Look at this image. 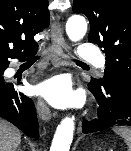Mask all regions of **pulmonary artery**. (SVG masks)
<instances>
[{
  "instance_id": "1",
  "label": "pulmonary artery",
  "mask_w": 131,
  "mask_h": 151,
  "mask_svg": "<svg viewBox=\"0 0 131 151\" xmlns=\"http://www.w3.org/2000/svg\"><path fill=\"white\" fill-rule=\"evenodd\" d=\"M78 55L80 59L92 63L98 69H104L105 67L104 57L89 43H84L79 47Z\"/></svg>"
}]
</instances>
